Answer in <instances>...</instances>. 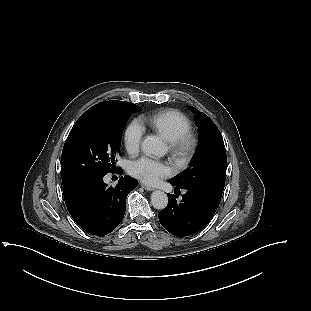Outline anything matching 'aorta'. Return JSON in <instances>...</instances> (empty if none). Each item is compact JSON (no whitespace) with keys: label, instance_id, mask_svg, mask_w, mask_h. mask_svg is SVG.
Masks as SVG:
<instances>
[{"label":"aorta","instance_id":"762f6f07","mask_svg":"<svg viewBox=\"0 0 311 311\" xmlns=\"http://www.w3.org/2000/svg\"><path fill=\"white\" fill-rule=\"evenodd\" d=\"M142 151L148 156L162 157L166 154L165 143L157 136H147L142 144ZM151 204L157 210L166 208L168 204V196L161 190H155L151 194Z\"/></svg>","mask_w":311,"mask_h":311}]
</instances>
